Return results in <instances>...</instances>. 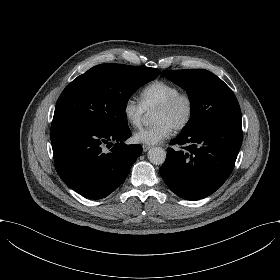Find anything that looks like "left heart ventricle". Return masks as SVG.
<instances>
[{
  "mask_svg": "<svg viewBox=\"0 0 280 280\" xmlns=\"http://www.w3.org/2000/svg\"><path fill=\"white\" fill-rule=\"evenodd\" d=\"M186 113L187 104L185 101H181L170 110L155 109L153 112V119L154 123L164 120L175 127V125L185 117Z\"/></svg>",
  "mask_w": 280,
  "mask_h": 280,
  "instance_id": "obj_1",
  "label": "left heart ventricle"
}]
</instances>
